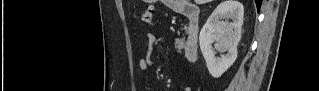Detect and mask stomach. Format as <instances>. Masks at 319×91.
<instances>
[{
    "label": "stomach",
    "mask_w": 319,
    "mask_h": 91,
    "mask_svg": "<svg viewBox=\"0 0 319 91\" xmlns=\"http://www.w3.org/2000/svg\"><path fill=\"white\" fill-rule=\"evenodd\" d=\"M172 0H164V2H167V3H169L170 4V2H171ZM173 4V3H172Z\"/></svg>",
    "instance_id": "1"
}]
</instances>
